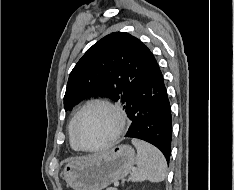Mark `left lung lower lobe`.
<instances>
[{
	"label": "left lung lower lobe",
	"instance_id": "obj_1",
	"mask_svg": "<svg viewBox=\"0 0 234 190\" xmlns=\"http://www.w3.org/2000/svg\"><path fill=\"white\" fill-rule=\"evenodd\" d=\"M143 65L144 78L125 108L131 120L125 137L153 144L169 162L172 139L170 103L158 63L145 45Z\"/></svg>",
	"mask_w": 234,
	"mask_h": 190
}]
</instances>
